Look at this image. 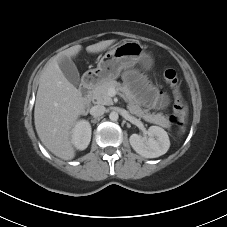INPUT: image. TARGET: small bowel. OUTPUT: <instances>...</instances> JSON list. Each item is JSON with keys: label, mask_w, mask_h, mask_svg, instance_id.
<instances>
[{"label": "small bowel", "mask_w": 227, "mask_h": 227, "mask_svg": "<svg viewBox=\"0 0 227 227\" xmlns=\"http://www.w3.org/2000/svg\"><path fill=\"white\" fill-rule=\"evenodd\" d=\"M123 80L127 88L133 89V93L136 94L144 104L156 109H163L167 106V96L159 93L155 88L149 85L135 69L127 70L123 74Z\"/></svg>", "instance_id": "c3829d8e"}]
</instances>
